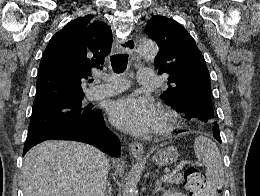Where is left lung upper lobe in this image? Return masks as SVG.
I'll use <instances>...</instances> for the list:
<instances>
[{"label":"left lung upper lobe","mask_w":260,"mask_h":196,"mask_svg":"<svg viewBox=\"0 0 260 196\" xmlns=\"http://www.w3.org/2000/svg\"><path fill=\"white\" fill-rule=\"evenodd\" d=\"M144 32L159 47L156 69L159 74H169V87L161 98L174 110L183 112L188 120H191L189 113L193 108H213L208 69L191 35L175 20L160 15L148 21ZM192 121L209 128L217 123L216 117Z\"/></svg>","instance_id":"obj_1"}]
</instances>
